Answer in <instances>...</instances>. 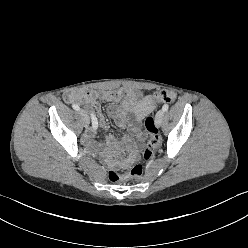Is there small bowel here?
Returning a JSON list of instances; mask_svg holds the SVG:
<instances>
[{"label": "small bowel", "instance_id": "1", "mask_svg": "<svg viewBox=\"0 0 248 248\" xmlns=\"http://www.w3.org/2000/svg\"><path fill=\"white\" fill-rule=\"evenodd\" d=\"M64 99L67 103L77 101L86 107L94 109L98 116V119L96 117L97 122H99V126L103 129L106 128L107 123L100 112L97 101L108 103L107 112L113 117L116 126L119 128L126 126L128 116L132 114L135 117V122L129 125L130 135L122 136L120 142L114 136L109 135L106 137L104 145L95 143L93 141L95 129L93 128L85 132L83 141L85 145L101 150L108 156L124 149L127 152L126 157L121 161L114 162V164H129L134 161L138 151L137 143L143 140V133L139 123L155 108V104L150 96L138 90L125 88L107 91L83 89L67 92L64 95ZM121 99H123V102L119 103Z\"/></svg>", "mask_w": 248, "mask_h": 248}]
</instances>
